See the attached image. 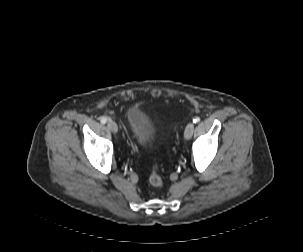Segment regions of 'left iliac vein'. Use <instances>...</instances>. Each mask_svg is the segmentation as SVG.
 <instances>
[{
  "mask_svg": "<svg viewBox=\"0 0 303 252\" xmlns=\"http://www.w3.org/2000/svg\"><path fill=\"white\" fill-rule=\"evenodd\" d=\"M193 131H194V123L189 122L185 128L184 138L186 140H189L192 137Z\"/></svg>",
  "mask_w": 303,
  "mask_h": 252,
  "instance_id": "left-iliac-vein-1",
  "label": "left iliac vein"
}]
</instances>
